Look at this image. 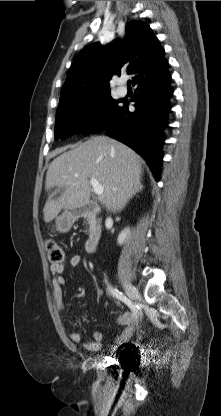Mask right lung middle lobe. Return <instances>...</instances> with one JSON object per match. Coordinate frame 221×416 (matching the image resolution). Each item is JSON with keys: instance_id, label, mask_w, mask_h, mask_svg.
I'll return each instance as SVG.
<instances>
[{"instance_id": "1", "label": "right lung middle lobe", "mask_w": 221, "mask_h": 416, "mask_svg": "<svg viewBox=\"0 0 221 416\" xmlns=\"http://www.w3.org/2000/svg\"><path fill=\"white\" fill-rule=\"evenodd\" d=\"M110 92L60 103L57 108L55 139H65L78 133L101 130L119 108Z\"/></svg>"}]
</instances>
